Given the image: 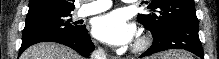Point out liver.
Instances as JSON below:
<instances>
[{
  "instance_id": "obj_1",
  "label": "liver",
  "mask_w": 219,
  "mask_h": 59,
  "mask_svg": "<svg viewBox=\"0 0 219 59\" xmlns=\"http://www.w3.org/2000/svg\"><path fill=\"white\" fill-rule=\"evenodd\" d=\"M20 59H83L73 50L51 42L39 43L26 49Z\"/></svg>"
}]
</instances>
